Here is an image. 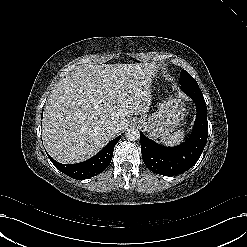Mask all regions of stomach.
<instances>
[{
	"mask_svg": "<svg viewBox=\"0 0 247 247\" xmlns=\"http://www.w3.org/2000/svg\"><path fill=\"white\" fill-rule=\"evenodd\" d=\"M185 104L179 97H169L159 104L157 112L138 119L140 126L152 139L164 138L172 133L183 120Z\"/></svg>",
	"mask_w": 247,
	"mask_h": 247,
	"instance_id": "1",
	"label": "stomach"
}]
</instances>
